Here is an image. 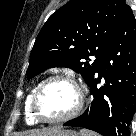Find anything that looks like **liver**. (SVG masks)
<instances>
[{"label":"liver","mask_w":136,"mask_h":136,"mask_svg":"<svg viewBox=\"0 0 136 136\" xmlns=\"http://www.w3.org/2000/svg\"><path fill=\"white\" fill-rule=\"evenodd\" d=\"M56 129H59V128H47V129H42V130H34L31 132L29 136H49Z\"/></svg>","instance_id":"6515ba94"}]
</instances>
